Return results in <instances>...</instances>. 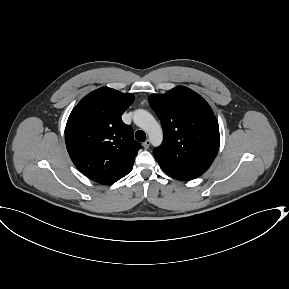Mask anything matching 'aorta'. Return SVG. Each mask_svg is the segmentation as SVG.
I'll return each mask as SVG.
<instances>
[{
	"mask_svg": "<svg viewBox=\"0 0 289 289\" xmlns=\"http://www.w3.org/2000/svg\"><path fill=\"white\" fill-rule=\"evenodd\" d=\"M133 121L148 134L153 146H159L162 143V128L148 111L143 109L136 110L133 115Z\"/></svg>",
	"mask_w": 289,
	"mask_h": 289,
	"instance_id": "1",
	"label": "aorta"
}]
</instances>
